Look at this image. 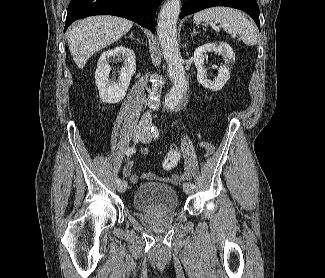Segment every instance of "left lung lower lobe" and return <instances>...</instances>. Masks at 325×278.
<instances>
[{"label":"left lung lower lobe","instance_id":"obj_1","mask_svg":"<svg viewBox=\"0 0 325 278\" xmlns=\"http://www.w3.org/2000/svg\"><path fill=\"white\" fill-rule=\"evenodd\" d=\"M213 6H228L248 13L260 30L259 7L256 0H184L180 18Z\"/></svg>","mask_w":325,"mask_h":278}]
</instances>
